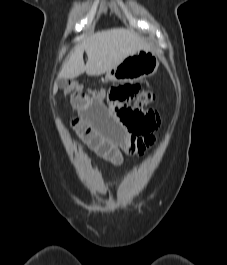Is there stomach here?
Returning a JSON list of instances; mask_svg holds the SVG:
<instances>
[{"label":"stomach","instance_id":"stomach-1","mask_svg":"<svg viewBox=\"0 0 227 265\" xmlns=\"http://www.w3.org/2000/svg\"><path fill=\"white\" fill-rule=\"evenodd\" d=\"M159 61L150 49H140L125 58L105 74V80L114 83L134 82L157 72Z\"/></svg>","mask_w":227,"mask_h":265}]
</instances>
